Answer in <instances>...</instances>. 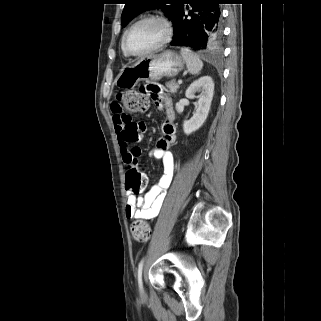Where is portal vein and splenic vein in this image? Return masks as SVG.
Here are the masks:
<instances>
[{
    "label": "portal vein and splenic vein",
    "instance_id": "18ae733b",
    "mask_svg": "<svg viewBox=\"0 0 321 321\" xmlns=\"http://www.w3.org/2000/svg\"><path fill=\"white\" fill-rule=\"evenodd\" d=\"M182 83V80H178V84H181Z\"/></svg>",
    "mask_w": 321,
    "mask_h": 321
}]
</instances>
